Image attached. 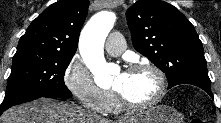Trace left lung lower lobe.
Returning a JSON list of instances; mask_svg holds the SVG:
<instances>
[{
  "label": "left lung lower lobe",
  "mask_w": 221,
  "mask_h": 123,
  "mask_svg": "<svg viewBox=\"0 0 221 123\" xmlns=\"http://www.w3.org/2000/svg\"><path fill=\"white\" fill-rule=\"evenodd\" d=\"M185 84H192V85H195L197 87H200L201 89L205 90L213 98V94L211 92L210 85L202 84V83H198V82H189V83H185Z\"/></svg>",
  "instance_id": "0a47b994"
}]
</instances>
